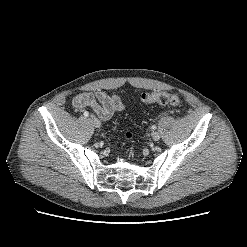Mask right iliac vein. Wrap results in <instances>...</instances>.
Here are the masks:
<instances>
[{"instance_id":"1","label":"right iliac vein","mask_w":247,"mask_h":247,"mask_svg":"<svg viewBox=\"0 0 247 247\" xmlns=\"http://www.w3.org/2000/svg\"><path fill=\"white\" fill-rule=\"evenodd\" d=\"M89 120H90V122H91L96 128H99V127L101 126L100 121H99L97 118H95L94 116H91V117L89 118Z\"/></svg>"}]
</instances>
